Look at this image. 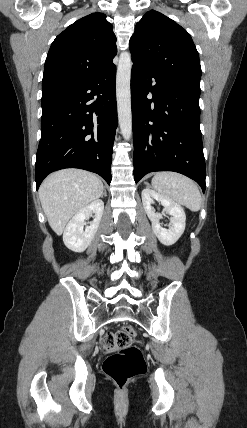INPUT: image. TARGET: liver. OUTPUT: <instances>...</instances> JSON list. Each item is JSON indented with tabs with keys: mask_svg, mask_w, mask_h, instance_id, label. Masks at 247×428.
I'll return each instance as SVG.
<instances>
[{
	"mask_svg": "<svg viewBox=\"0 0 247 428\" xmlns=\"http://www.w3.org/2000/svg\"><path fill=\"white\" fill-rule=\"evenodd\" d=\"M102 181L80 169H65L50 174L39 188L43 211L52 230L61 235L68 221L103 193Z\"/></svg>",
	"mask_w": 247,
	"mask_h": 428,
	"instance_id": "obj_1",
	"label": "liver"
}]
</instances>
